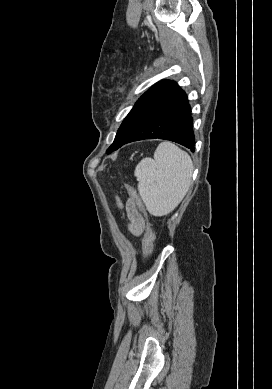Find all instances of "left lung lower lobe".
Wrapping results in <instances>:
<instances>
[{
	"instance_id": "0a47b994",
	"label": "left lung lower lobe",
	"mask_w": 272,
	"mask_h": 389,
	"mask_svg": "<svg viewBox=\"0 0 272 389\" xmlns=\"http://www.w3.org/2000/svg\"><path fill=\"white\" fill-rule=\"evenodd\" d=\"M192 123L186 93L177 83L170 81L149 99L118 148L138 140L164 139L179 143L194 152Z\"/></svg>"
}]
</instances>
